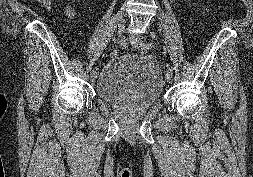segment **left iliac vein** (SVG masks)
<instances>
[{
    "label": "left iliac vein",
    "mask_w": 253,
    "mask_h": 177,
    "mask_svg": "<svg viewBox=\"0 0 253 177\" xmlns=\"http://www.w3.org/2000/svg\"><path fill=\"white\" fill-rule=\"evenodd\" d=\"M130 42L138 49H141L143 50L142 48L139 47V42H143V38L138 35V34H131L130 37ZM172 80H173V74H170V73H166V81L168 83H172Z\"/></svg>",
    "instance_id": "obj_1"
}]
</instances>
